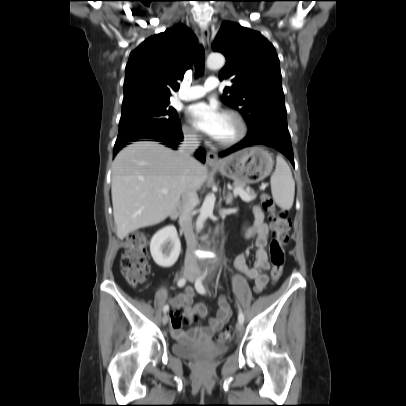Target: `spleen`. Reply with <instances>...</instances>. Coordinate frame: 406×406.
<instances>
[{"label":"spleen","instance_id":"3e777b00","mask_svg":"<svg viewBox=\"0 0 406 406\" xmlns=\"http://www.w3.org/2000/svg\"><path fill=\"white\" fill-rule=\"evenodd\" d=\"M271 192L275 203L284 210H289L294 202L295 182L286 161L276 157V168L270 179Z\"/></svg>","mask_w":406,"mask_h":406}]
</instances>
